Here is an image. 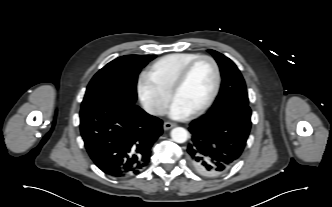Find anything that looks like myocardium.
I'll return each mask as SVG.
<instances>
[{
	"mask_svg": "<svg viewBox=\"0 0 332 207\" xmlns=\"http://www.w3.org/2000/svg\"><path fill=\"white\" fill-rule=\"evenodd\" d=\"M201 60H207L212 64L214 73H215V82H214L212 92L209 95L208 99L200 107H198L197 109L192 111L190 113L191 116H198V115L204 113L215 101V99L219 93L220 86H221V70H220V66H219L218 62L212 56L204 55V54L198 55L197 57H195L194 59L189 61L181 69V71L177 75L176 79L174 80L171 90H170L171 98L174 100L175 94L185 83L193 66Z\"/></svg>",
	"mask_w": 332,
	"mask_h": 207,
	"instance_id": "obj_1",
	"label": "myocardium"
}]
</instances>
